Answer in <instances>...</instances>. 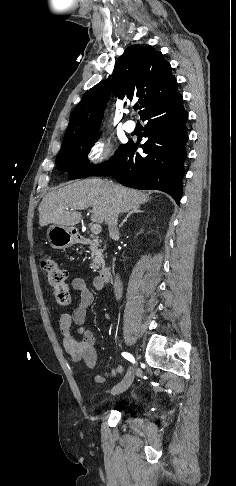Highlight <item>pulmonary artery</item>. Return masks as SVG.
<instances>
[{
  "label": "pulmonary artery",
  "mask_w": 236,
  "mask_h": 486,
  "mask_svg": "<svg viewBox=\"0 0 236 486\" xmlns=\"http://www.w3.org/2000/svg\"><path fill=\"white\" fill-rule=\"evenodd\" d=\"M124 129L129 133L134 132L135 129H136L135 121H133V120L126 121L125 124H124Z\"/></svg>",
  "instance_id": "pulmonary-artery-1"
}]
</instances>
